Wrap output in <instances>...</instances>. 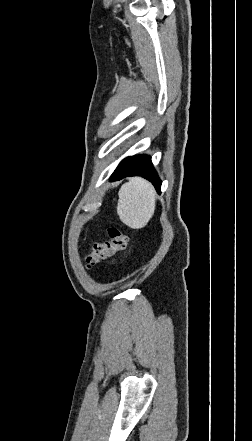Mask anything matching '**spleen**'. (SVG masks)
<instances>
[{
	"mask_svg": "<svg viewBox=\"0 0 252 441\" xmlns=\"http://www.w3.org/2000/svg\"><path fill=\"white\" fill-rule=\"evenodd\" d=\"M117 213L120 220L133 229L143 228L155 211V189L143 178H131L119 190Z\"/></svg>",
	"mask_w": 252,
	"mask_h": 441,
	"instance_id": "3e777b00",
	"label": "spleen"
}]
</instances>
